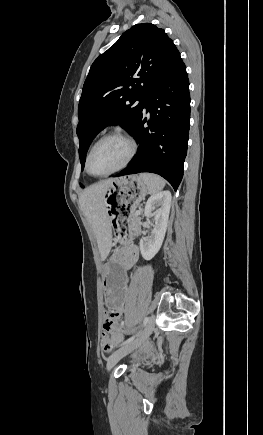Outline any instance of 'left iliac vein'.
I'll use <instances>...</instances> for the list:
<instances>
[{
    "label": "left iliac vein",
    "instance_id": "obj_1",
    "mask_svg": "<svg viewBox=\"0 0 263 435\" xmlns=\"http://www.w3.org/2000/svg\"><path fill=\"white\" fill-rule=\"evenodd\" d=\"M154 327L155 315H151L147 325L135 340L124 345L120 349L116 350L113 354H111L107 361V370L109 371L121 358L139 347L151 335Z\"/></svg>",
    "mask_w": 263,
    "mask_h": 435
}]
</instances>
